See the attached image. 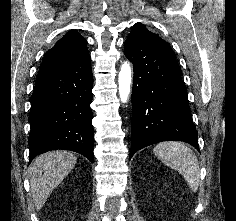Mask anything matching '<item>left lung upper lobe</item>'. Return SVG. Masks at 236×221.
Wrapping results in <instances>:
<instances>
[{
    "instance_id": "5c2ea615",
    "label": "left lung upper lobe",
    "mask_w": 236,
    "mask_h": 221,
    "mask_svg": "<svg viewBox=\"0 0 236 221\" xmlns=\"http://www.w3.org/2000/svg\"><path fill=\"white\" fill-rule=\"evenodd\" d=\"M133 32L145 33V34L153 37L154 39L158 40L159 42L163 43L164 45L170 47V45L166 41L161 39L157 34H154V33L150 32L149 30H147L146 27L141 23H137L133 26L131 33H133Z\"/></svg>"
}]
</instances>
